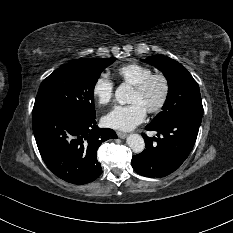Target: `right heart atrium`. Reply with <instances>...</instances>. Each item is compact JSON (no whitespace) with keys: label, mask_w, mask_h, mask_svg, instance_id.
Instances as JSON below:
<instances>
[{"label":"right heart atrium","mask_w":233,"mask_h":233,"mask_svg":"<svg viewBox=\"0 0 233 233\" xmlns=\"http://www.w3.org/2000/svg\"><path fill=\"white\" fill-rule=\"evenodd\" d=\"M92 94L98 104H108L113 98L114 82L105 74L99 75L92 85Z\"/></svg>","instance_id":"1"}]
</instances>
